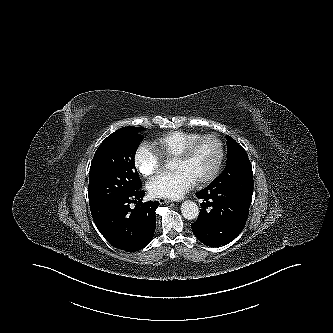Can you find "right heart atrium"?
Returning <instances> with one entry per match:
<instances>
[{
	"instance_id": "right-heart-atrium-1",
	"label": "right heart atrium",
	"mask_w": 333,
	"mask_h": 333,
	"mask_svg": "<svg viewBox=\"0 0 333 333\" xmlns=\"http://www.w3.org/2000/svg\"><path fill=\"white\" fill-rule=\"evenodd\" d=\"M133 164L141 176L149 178L160 171L162 159L150 147L141 145L134 152Z\"/></svg>"
}]
</instances>
